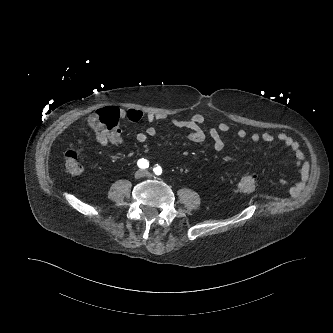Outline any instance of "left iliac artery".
<instances>
[{"label": "left iliac artery", "mask_w": 333, "mask_h": 333, "mask_svg": "<svg viewBox=\"0 0 333 333\" xmlns=\"http://www.w3.org/2000/svg\"><path fill=\"white\" fill-rule=\"evenodd\" d=\"M153 172H154L156 175H160V174L162 173V168H161V166L156 165V166L153 168Z\"/></svg>", "instance_id": "left-iliac-artery-1"}]
</instances>
